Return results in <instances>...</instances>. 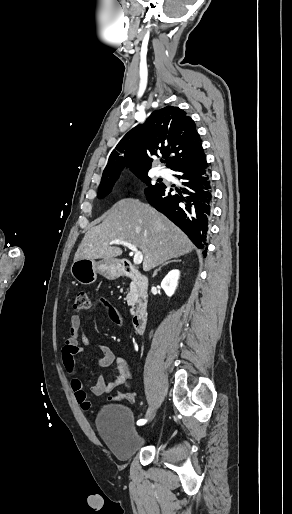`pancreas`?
Here are the masks:
<instances>
[{
    "mask_svg": "<svg viewBox=\"0 0 292 514\" xmlns=\"http://www.w3.org/2000/svg\"><path fill=\"white\" fill-rule=\"evenodd\" d=\"M132 286V290L131 292H128L127 294V304L128 306H132L130 312L131 314H134L133 310H134V306H136L137 302H138V292H137V286L136 284H131Z\"/></svg>",
    "mask_w": 292,
    "mask_h": 514,
    "instance_id": "pancreas-1",
    "label": "pancreas"
}]
</instances>
